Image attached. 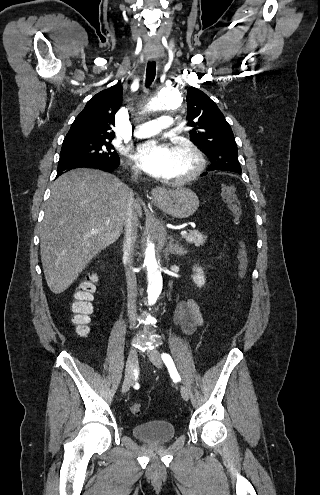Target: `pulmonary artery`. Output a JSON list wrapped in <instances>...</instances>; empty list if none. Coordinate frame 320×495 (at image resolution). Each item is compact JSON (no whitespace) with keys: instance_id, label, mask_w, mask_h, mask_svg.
Returning <instances> with one entry per match:
<instances>
[{"instance_id":"pulmonary-artery-1","label":"pulmonary artery","mask_w":320,"mask_h":495,"mask_svg":"<svg viewBox=\"0 0 320 495\" xmlns=\"http://www.w3.org/2000/svg\"><path fill=\"white\" fill-rule=\"evenodd\" d=\"M173 118L170 116H160L158 119L148 121L136 126L134 136L137 138H146L158 134L165 129H171Z\"/></svg>"}]
</instances>
